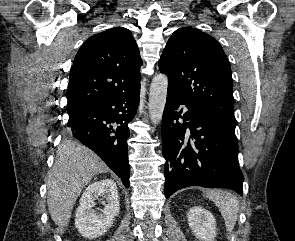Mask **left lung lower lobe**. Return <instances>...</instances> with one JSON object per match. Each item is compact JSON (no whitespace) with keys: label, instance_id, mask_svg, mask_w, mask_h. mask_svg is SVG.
<instances>
[{"label":"left lung lower lobe","instance_id":"obj_1","mask_svg":"<svg viewBox=\"0 0 295 241\" xmlns=\"http://www.w3.org/2000/svg\"><path fill=\"white\" fill-rule=\"evenodd\" d=\"M181 104L188 109L183 115L177 111ZM162 153L166 198L188 186L229 188L242 195L235 126L192 107L170 90L162 118Z\"/></svg>","mask_w":295,"mask_h":241}]
</instances>
